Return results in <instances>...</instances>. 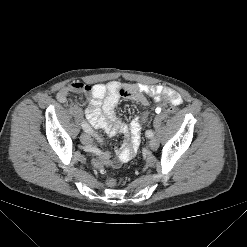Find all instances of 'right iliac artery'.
<instances>
[{
	"label": "right iliac artery",
	"instance_id": "82829eb1",
	"mask_svg": "<svg viewBox=\"0 0 247 247\" xmlns=\"http://www.w3.org/2000/svg\"><path fill=\"white\" fill-rule=\"evenodd\" d=\"M82 128L85 132L90 133V134L94 135L95 137L98 136L96 133H94V131L92 130V128L90 127V125L86 121L82 122Z\"/></svg>",
	"mask_w": 247,
	"mask_h": 247
}]
</instances>
